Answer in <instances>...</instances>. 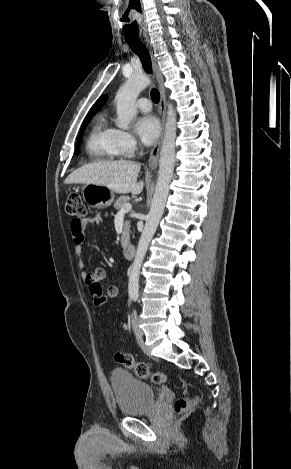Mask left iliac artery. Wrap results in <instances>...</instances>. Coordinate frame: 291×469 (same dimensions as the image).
Returning <instances> with one entry per match:
<instances>
[{
	"mask_svg": "<svg viewBox=\"0 0 291 469\" xmlns=\"http://www.w3.org/2000/svg\"><path fill=\"white\" fill-rule=\"evenodd\" d=\"M133 299H134V300H137V299H138V294H134V295H133Z\"/></svg>",
	"mask_w": 291,
	"mask_h": 469,
	"instance_id": "1",
	"label": "left iliac artery"
}]
</instances>
